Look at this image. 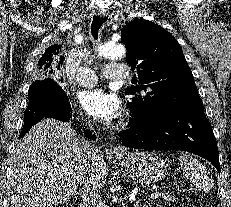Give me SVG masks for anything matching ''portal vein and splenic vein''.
I'll use <instances>...</instances> for the list:
<instances>
[{"mask_svg":"<svg viewBox=\"0 0 231 207\" xmlns=\"http://www.w3.org/2000/svg\"><path fill=\"white\" fill-rule=\"evenodd\" d=\"M160 195H161V192H159V191H154V192L151 194V197H152V198H157V197L160 196ZM129 199H130L131 202L134 201V200H135V195H131Z\"/></svg>","mask_w":231,"mask_h":207,"instance_id":"1","label":"portal vein and splenic vein"}]
</instances>
